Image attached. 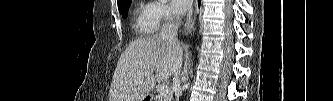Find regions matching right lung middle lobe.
<instances>
[{"label":"right lung middle lobe","mask_w":333,"mask_h":101,"mask_svg":"<svg viewBox=\"0 0 333 101\" xmlns=\"http://www.w3.org/2000/svg\"><path fill=\"white\" fill-rule=\"evenodd\" d=\"M132 0H125L122 3L118 4V9L122 17L126 18L128 16V9L131 5Z\"/></svg>","instance_id":"right-lung-middle-lobe-1"}]
</instances>
